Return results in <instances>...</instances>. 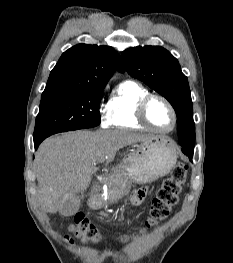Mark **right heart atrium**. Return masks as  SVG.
I'll return each mask as SVG.
<instances>
[{"label": "right heart atrium", "instance_id": "1", "mask_svg": "<svg viewBox=\"0 0 233 263\" xmlns=\"http://www.w3.org/2000/svg\"><path fill=\"white\" fill-rule=\"evenodd\" d=\"M100 125L102 128L110 127V116H109L108 108H104L100 110Z\"/></svg>", "mask_w": 233, "mask_h": 263}]
</instances>
